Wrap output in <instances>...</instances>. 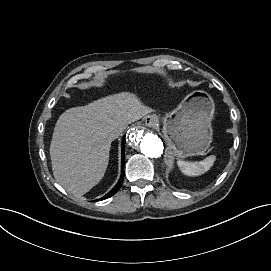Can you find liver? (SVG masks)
<instances>
[{
  "instance_id": "obj_1",
  "label": "liver",
  "mask_w": 271,
  "mask_h": 271,
  "mask_svg": "<svg viewBox=\"0 0 271 271\" xmlns=\"http://www.w3.org/2000/svg\"><path fill=\"white\" fill-rule=\"evenodd\" d=\"M152 111L130 92L66 110L56 122L50 144L56 181L76 196L87 193L104 176L115 136Z\"/></svg>"
}]
</instances>
